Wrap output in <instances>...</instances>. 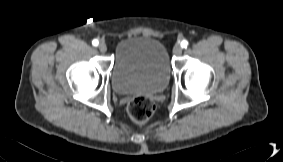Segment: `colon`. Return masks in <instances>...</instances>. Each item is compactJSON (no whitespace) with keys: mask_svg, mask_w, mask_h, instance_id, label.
<instances>
[{"mask_svg":"<svg viewBox=\"0 0 283 162\" xmlns=\"http://www.w3.org/2000/svg\"><path fill=\"white\" fill-rule=\"evenodd\" d=\"M155 110L154 102L145 96L135 97L128 105V114L137 124L147 122L154 115Z\"/></svg>","mask_w":283,"mask_h":162,"instance_id":"obj_1","label":"colon"}]
</instances>
